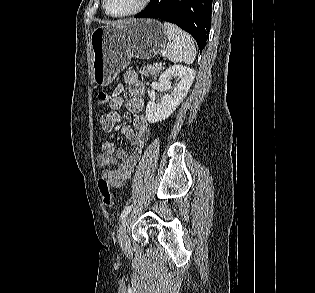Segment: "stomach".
<instances>
[{
	"label": "stomach",
	"instance_id": "1",
	"mask_svg": "<svg viewBox=\"0 0 315 293\" xmlns=\"http://www.w3.org/2000/svg\"><path fill=\"white\" fill-rule=\"evenodd\" d=\"M167 38L162 23L153 19L129 20L94 29L90 37L94 82L109 85L132 58L155 57Z\"/></svg>",
	"mask_w": 315,
	"mask_h": 293
}]
</instances>
